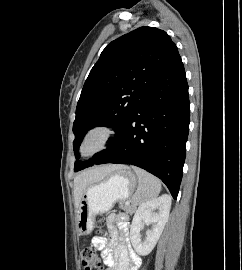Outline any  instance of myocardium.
Masks as SVG:
<instances>
[{
    "label": "myocardium",
    "instance_id": "myocardium-1",
    "mask_svg": "<svg viewBox=\"0 0 242 270\" xmlns=\"http://www.w3.org/2000/svg\"><path fill=\"white\" fill-rule=\"evenodd\" d=\"M114 129L108 124H97L89 128L83 135L81 142L79 144V154L83 158H90L96 154L104 151L114 137ZM98 136L99 142L97 147L90 153H84V147L87 141L93 137Z\"/></svg>",
    "mask_w": 242,
    "mask_h": 270
}]
</instances>
